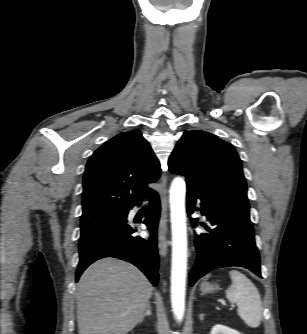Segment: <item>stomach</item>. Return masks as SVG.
<instances>
[{
	"instance_id": "stomach-1",
	"label": "stomach",
	"mask_w": 307,
	"mask_h": 334,
	"mask_svg": "<svg viewBox=\"0 0 307 334\" xmlns=\"http://www.w3.org/2000/svg\"><path fill=\"white\" fill-rule=\"evenodd\" d=\"M218 289L217 286L215 285H212V284H209V283H204L202 284L201 286V290L204 292V293H209V292H212L214 290Z\"/></svg>"
}]
</instances>
